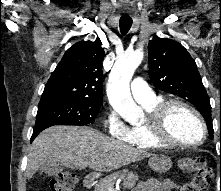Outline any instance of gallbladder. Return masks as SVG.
<instances>
[{
	"mask_svg": "<svg viewBox=\"0 0 221 191\" xmlns=\"http://www.w3.org/2000/svg\"><path fill=\"white\" fill-rule=\"evenodd\" d=\"M63 169L64 165L60 161L47 160L40 166L39 171L40 173H45L48 175H56L62 172Z\"/></svg>",
	"mask_w": 221,
	"mask_h": 191,
	"instance_id": "bac80fb5",
	"label": "gallbladder"
}]
</instances>
